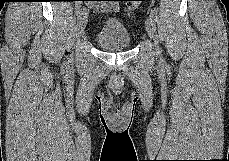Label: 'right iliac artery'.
<instances>
[{
  "label": "right iliac artery",
  "mask_w": 229,
  "mask_h": 161,
  "mask_svg": "<svg viewBox=\"0 0 229 161\" xmlns=\"http://www.w3.org/2000/svg\"><path fill=\"white\" fill-rule=\"evenodd\" d=\"M80 12H81V4H78L76 8V14L79 15Z\"/></svg>",
  "instance_id": "82829eb1"
}]
</instances>
